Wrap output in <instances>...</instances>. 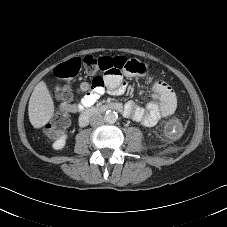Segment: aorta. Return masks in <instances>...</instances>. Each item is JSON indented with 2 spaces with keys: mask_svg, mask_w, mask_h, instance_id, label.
<instances>
[{
  "mask_svg": "<svg viewBox=\"0 0 227 227\" xmlns=\"http://www.w3.org/2000/svg\"><path fill=\"white\" fill-rule=\"evenodd\" d=\"M118 115L115 111L108 110L104 114V121L109 124H113L117 121Z\"/></svg>",
  "mask_w": 227,
  "mask_h": 227,
  "instance_id": "obj_1",
  "label": "aorta"
}]
</instances>
